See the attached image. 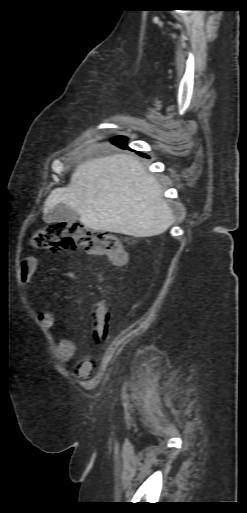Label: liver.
Masks as SVG:
<instances>
[{
	"label": "liver",
	"instance_id": "1",
	"mask_svg": "<svg viewBox=\"0 0 247 513\" xmlns=\"http://www.w3.org/2000/svg\"><path fill=\"white\" fill-rule=\"evenodd\" d=\"M60 203L95 231L150 237L174 221L157 179L133 154L119 153L80 164L70 184L54 189L47 197L45 222V216Z\"/></svg>",
	"mask_w": 247,
	"mask_h": 513
}]
</instances>
